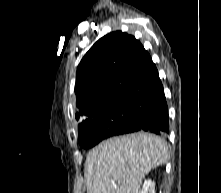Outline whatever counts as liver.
Masks as SVG:
<instances>
[{
  "mask_svg": "<svg viewBox=\"0 0 221 193\" xmlns=\"http://www.w3.org/2000/svg\"><path fill=\"white\" fill-rule=\"evenodd\" d=\"M167 160V143L154 134L109 138L87 156V193H140L145 175Z\"/></svg>",
  "mask_w": 221,
  "mask_h": 193,
  "instance_id": "obj_1",
  "label": "liver"
}]
</instances>
